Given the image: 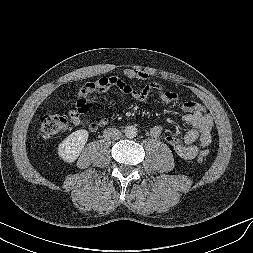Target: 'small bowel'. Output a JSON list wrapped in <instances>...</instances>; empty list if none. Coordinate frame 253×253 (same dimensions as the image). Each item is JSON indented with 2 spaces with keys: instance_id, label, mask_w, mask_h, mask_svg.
<instances>
[{
  "instance_id": "c3829d8e",
  "label": "small bowel",
  "mask_w": 253,
  "mask_h": 253,
  "mask_svg": "<svg viewBox=\"0 0 253 253\" xmlns=\"http://www.w3.org/2000/svg\"><path fill=\"white\" fill-rule=\"evenodd\" d=\"M125 79L149 80L150 74L146 70L126 68L123 71V78L116 76L102 77L86 83L76 95L75 108L69 112L72 125L86 128L90 132H96L100 126L107 124L109 122L107 117L88 121L83 119L82 115L87 112V97L90 94L106 92L113 87L138 101H146L152 95H156L165 104L175 103L180 99L177 93L166 90L159 82L149 81L144 87L137 89ZM182 110L185 112L184 122L192 128L182 138L170 135L166 140L179 157L192 160L197 156L200 149L211 143L213 119L205 112L201 104L194 101L183 102ZM163 129L162 125H155L150 129V134L152 137L158 138L162 135Z\"/></svg>"
}]
</instances>
